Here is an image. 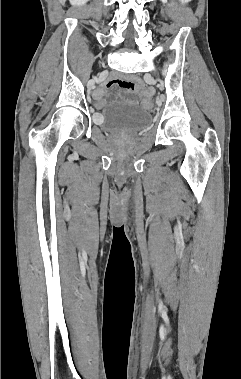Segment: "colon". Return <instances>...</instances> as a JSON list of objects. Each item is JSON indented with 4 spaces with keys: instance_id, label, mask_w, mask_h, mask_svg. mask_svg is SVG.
Returning a JSON list of instances; mask_svg holds the SVG:
<instances>
[{
    "instance_id": "obj_1",
    "label": "colon",
    "mask_w": 241,
    "mask_h": 379,
    "mask_svg": "<svg viewBox=\"0 0 241 379\" xmlns=\"http://www.w3.org/2000/svg\"><path fill=\"white\" fill-rule=\"evenodd\" d=\"M142 101H141V109H150L151 108V93L149 90L142 91Z\"/></svg>"
}]
</instances>
